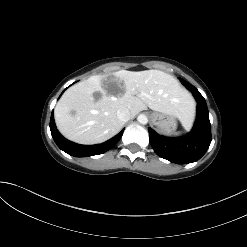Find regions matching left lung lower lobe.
<instances>
[{
  "label": "left lung lower lobe",
  "mask_w": 247,
  "mask_h": 247,
  "mask_svg": "<svg viewBox=\"0 0 247 247\" xmlns=\"http://www.w3.org/2000/svg\"><path fill=\"white\" fill-rule=\"evenodd\" d=\"M197 101V118L189 134L179 138L160 136L149 128V141L155 153L170 162L188 164L199 160L211 143V125L208 108L203 96L191 84L180 78Z\"/></svg>",
  "instance_id": "1"
}]
</instances>
